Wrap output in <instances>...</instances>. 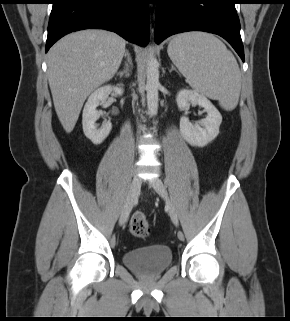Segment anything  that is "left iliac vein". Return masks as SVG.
<instances>
[{"label": "left iliac vein", "instance_id": "obj_1", "mask_svg": "<svg viewBox=\"0 0 290 321\" xmlns=\"http://www.w3.org/2000/svg\"><path fill=\"white\" fill-rule=\"evenodd\" d=\"M150 185L158 193V195L166 201V203L168 205L169 216H170L172 222L175 225H178L179 218H178L177 211H176L175 207L172 205V203L170 202L166 187L163 184V182L161 181V179L155 178V179L151 180Z\"/></svg>", "mask_w": 290, "mask_h": 321}]
</instances>
